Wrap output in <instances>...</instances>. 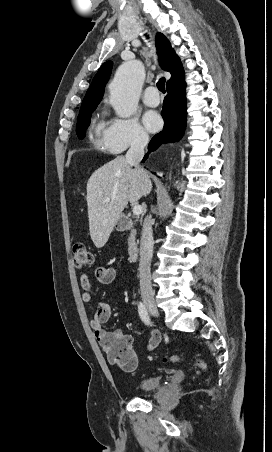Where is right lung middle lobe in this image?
Returning <instances> with one entry per match:
<instances>
[{
    "mask_svg": "<svg viewBox=\"0 0 272 452\" xmlns=\"http://www.w3.org/2000/svg\"><path fill=\"white\" fill-rule=\"evenodd\" d=\"M98 104L82 106L77 120L76 132L80 139L85 137V131L90 123L91 112Z\"/></svg>",
    "mask_w": 272,
    "mask_h": 452,
    "instance_id": "right-lung-middle-lobe-1",
    "label": "right lung middle lobe"
}]
</instances>
